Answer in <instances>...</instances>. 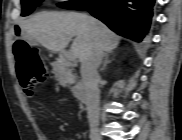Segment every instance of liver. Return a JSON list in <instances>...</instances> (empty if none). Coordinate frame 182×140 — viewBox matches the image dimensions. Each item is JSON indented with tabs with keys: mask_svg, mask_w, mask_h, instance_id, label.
<instances>
[{
	"mask_svg": "<svg viewBox=\"0 0 182 140\" xmlns=\"http://www.w3.org/2000/svg\"><path fill=\"white\" fill-rule=\"evenodd\" d=\"M22 35L54 52L63 51L74 37L71 51L81 62L95 48L113 51L120 37L101 21L77 12H40L19 24Z\"/></svg>",
	"mask_w": 182,
	"mask_h": 140,
	"instance_id": "obj_1",
	"label": "liver"
}]
</instances>
